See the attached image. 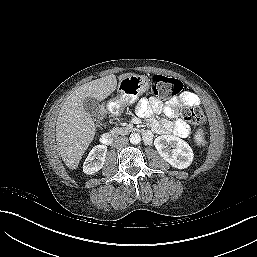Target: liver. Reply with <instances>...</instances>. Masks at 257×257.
<instances>
[{"label":"liver","mask_w":257,"mask_h":257,"mask_svg":"<svg viewBox=\"0 0 257 257\" xmlns=\"http://www.w3.org/2000/svg\"><path fill=\"white\" fill-rule=\"evenodd\" d=\"M134 73H125L119 81ZM117 87L116 76L111 74L80 86L63 103L56 122V141L59 153L66 166L76 169L92 142L96 127L83 107V100L94 97L99 101L111 95Z\"/></svg>","instance_id":"obj_1"}]
</instances>
